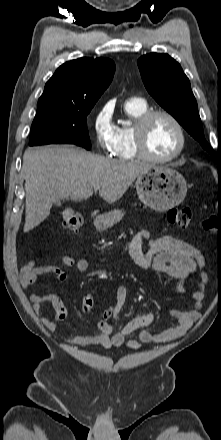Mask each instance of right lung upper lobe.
<instances>
[{
	"instance_id": "1",
	"label": "right lung upper lobe",
	"mask_w": 221,
	"mask_h": 440,
	"mask_svg": "<svg viewBox=\"0 0 221 440\" xmlns=\"http://www.w3.org/2000/svg\"><path fill=\"white\" fill-rule=\"evenodd\" d=\"M115 64L107 58H79L61 65L45 85L38 103L57 101L93 105L112 81Z\"/></svg>"
}]
</instances>
